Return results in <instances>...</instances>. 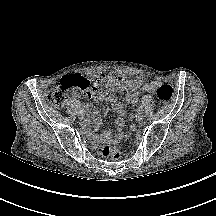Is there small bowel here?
<instances>
[{"label":"small bowel","mask_w":216,"mask_h":216,"mask_svg":"<svg viewBox=\"0 0 216 216\" xmlns=\"http://www.w3.org/2000/svg\"><path fill=\"white\" fill-rule=\"evenodd\" d=\"M101 83H104L106 89L103 90L96 84L89 92H86V96L98 103L102 100H106L110 103L113 110L118 115L125 114L124 103L119 101L115 93L116 92H126L125 102L128 104H135L138 101L139 91L144 92H154L157 82L145 83V78L142 75H137L132 78H127L122 73L113 72L108 75L99 76ZM100 83V84H101ZM100 119L96 110H88V120L86 123L87 128L95 129L99 126ZM125 135L124 122L118 120V131L116 134L111 132L103 133L99 138L94 137V141L100 140L102 142H113L121 139Z\"/></svg>","instance_id":"c3829d8e"}]
</instances>
